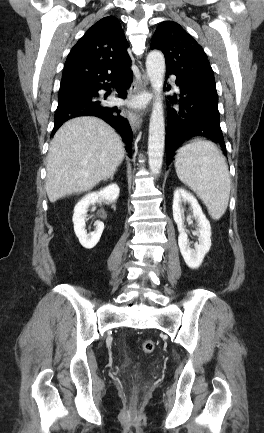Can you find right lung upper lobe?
Wrapping results in <instances>:
<instances>
[{
  "instance_id": "obj_1",
  "label": "right lung upper lobe",
  "mask_w": 264,
  "mask_h": 433,
  "mask_svg": "<svg viewBox=\"0 0 264 433\" xmlns=\"http://www.w3.org/2000/svg\"><path fill=\"white\" fill-rule=\"evenodd\" d=\"M128 42L114 16L96 22L70 51L62 80L81 74L116 71L130 64Z\"/></svg>"
}]
</instances>
